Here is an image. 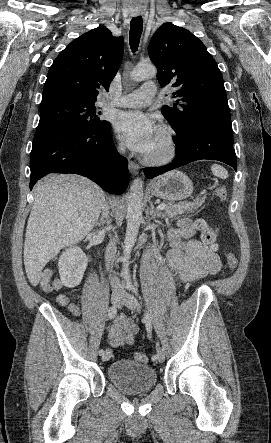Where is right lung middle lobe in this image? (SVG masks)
Segmentation results:
<instances>
[{"label":"right lung middle lobe","instance_id":"obj_1","mask_svg":"<svg viewBox=\"0 0 271 443\" xmlns=\"http://www.w3.org/2000/svg\"><path fill=\"white\" fill-rule=\"evenodd\" d=\"M96 116L94 103L76 99H56L41 103L40 121L37 129L50 124H69L94 130L107 124Z\"/></svg>","mask_w":271,"mask_h":443}]
</instances>
